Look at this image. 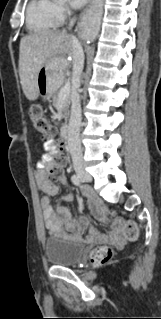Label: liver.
Wrapping results in <instances>:
<instances>
[{"label":"liver","instance_id":"6515ba94","mask_svg":"<svg viewBox=\"0 0 161 319\" xmlns=\"http://www.w3.org/2000/svg\"><path fill=\"white\" fill-rule=\"evenodd\" d=\"M66 55H73L72 37L65 31L49 30L25 36L20 41L19 75L28 100L38 97V73L44 64L56 58L65 70Z\"/></svg>","mask_w":161,"mask_h":319}]
</instances>
